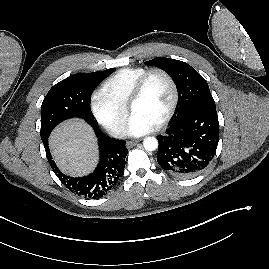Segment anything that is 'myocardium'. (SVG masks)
<instances>
[{
    "label": "myocardium",
    "mask_w": 269,
    "mask_h": 269,
    "mask_svg": "<svg viewBox=\"0 0 269 269\" xmlns=\"http://www.w3.org/2000/svg\"><path fill=\"white\" fill-rule=\"evenodd\" d=\"M155 74H160L164 76L168 80L171 86V90H172V100H171L170 106L166 114L164 115V117L155 126L156 129H160L164 127L170 121V119L175 113V110L179 102V89H178L177 82L175 78L165 69H162V68L149 69L139 78L128 100L127 109L129 112H132V108L134 104L142 97L150 78Z\"/></svg>",
    "instance_id": "f54148a6"
}]
</instances>
